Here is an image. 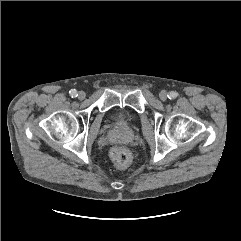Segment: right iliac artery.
<instances>
[{
  "label": "right iliac artery",
  "mask_w": 241,
  "mask_h": 241,
  "mask_svg": "<svg viewBox=\"0 0 241 241\" xmlns=\"http://www.w3.org/2000/svg\"><path fill=\"white\" fill-rule=\"evenodd\" d=\"M69 93L72 98H75L78 96V93L75 89L70 90Z\"/></svg>",
  "instance_id": "1"
}]
</instances>
